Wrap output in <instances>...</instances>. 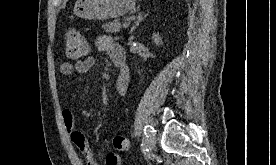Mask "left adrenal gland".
<instances>
[{
  "label": "left adrenal gland",
  "mask_w": 276,
  "mask_h": 165,
  "mask_svg": "<svg viewBox=\"0 0 276 165\" xmlns=\"http://www.w3.org/2000/svg\"><path fill=\"white\" fill-rule=\"evenodd\" d=\"M146 16H147V15H143L142 13H138V15H137L136 18H135L134 25L131 27L130 33H132V32L137 28V26L139 25V23H140L141 21H143V19H144Z\"/></svg>",
  "instance_id": "left-adrenal-gland-1"
}]
</instances>
